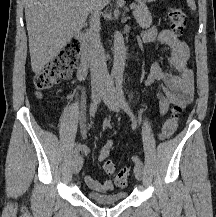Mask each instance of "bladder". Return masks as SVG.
<instances>
[{
	"label": "bladder",
	"mask_w": 216,
	"mask_h": 217,
	"mask_svg": "<svg viewBox=\"0 0 216 217\" xmlns=\"http://www.w3.org/2000/svg\"><path fill=\"white\" fill-rule=\"evenodd\" d=\"M87 196L90 201L101 205H112L124 201L127 197L126 191H114L109 193H98L88 191Z\"/></svg>",
	"instance_id": "obj_1"
}]
</instances>
